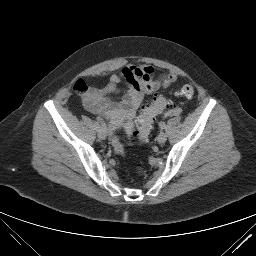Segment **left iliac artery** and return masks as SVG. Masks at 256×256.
<instances>
[{"label":"left iliac artery","mask_w":256,"mask_h":256,"mask_svg":"<svg viewBox=\"0 0 256 256\" xmlns=\"http://www.w3.org/2000/svg\"><path fill=\"white\" fill-rule=\"evenodd\" d=\"M159 126H160L161 129H165V127H166L164 122H161V123L159 124Z\"/></svg>","instance_id":"left-iliac-artery-1"}]
</instances>
